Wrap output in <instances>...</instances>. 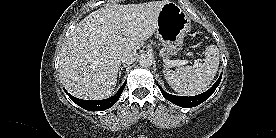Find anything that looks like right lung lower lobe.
I'll use <instances>...</instances> for the list:
<instances>
[{
	"instance_id": "obj_1",
	"label": "right lung lower lobe",
	"mask_w": 276,
	"mask_h": 138,
	"mask_svg": "<svg viewBox=\"0 0 276 138\" xmlns=\"http://www.w3.org/2000/svg\"><path fill=\"white\" fill-rule=\"evenodd\" d=\"M126 82L122 85V87L119 89L116 95L104 99V100H83V99H78L71 94H69L66 90V94L70 97V99L79 105L80 107L88 110V111H103L105 109H108L112 107L113 104H115L118 99L120 98L124 88H125Z\"/></svg>"
}]
</instances>
